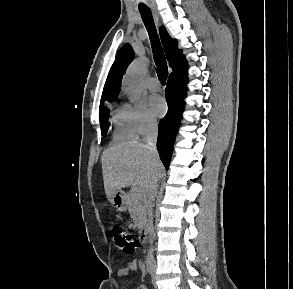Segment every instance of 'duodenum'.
<instances>
[{
  "instance_id": "obj_1",
  "label": "duodenum",
  "mask_w": 293,
  "mask_h": 289,
  "mask_svg": "<svg viewBox=\"0 0 293 289\" xmlns=\"http://www.w3.org/2000/svg\"><path fill=\"white\" fill-rule=\"evenodd\" d=\"M149 238V231L146 227H143L140 232V240L142 244H146Z\"/></svg>"
}]
</instances>
